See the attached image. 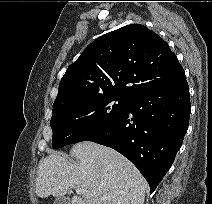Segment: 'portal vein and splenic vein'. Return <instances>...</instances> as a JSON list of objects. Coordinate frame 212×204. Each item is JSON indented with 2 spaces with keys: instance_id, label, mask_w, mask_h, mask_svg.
<instances>
[{
  "instance_id": "portal-vein-and-splenic-vein-1",
  "label": "portal vein and splenic vein",
  "mask_w": 212,
  "mask_h": 204,
  "mask_svg": "<svg viewBox=\"0 0 212 204\" xmlns=\"http://www.w3.org/2000/svg\"><path fill=\"white\" fill-rule=\"evenodd\" d=\"M83 192H84L83 188H77L76 189V193L79 194V195L82 194Z\"/></svg>"
}]
</instances>
